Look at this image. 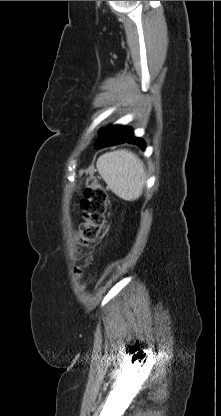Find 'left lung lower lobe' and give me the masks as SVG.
Returning a JSON list of instances; mask_svg holds the SVG:
<instances>
[{
	"instance_id": "left-lung-lower-lobe-1",
	"label": "left lung lower lobe",
	"mask_w": 221,
	"mask_h": 416,
	"mask_svg": "<svg viewBox=\"0 0 221 416\" xmlns=\"http://www.w3.org/2000/svg\"><path fill=\"white\" fill-rule=\"evenodd\" d=\"M125 142L131 143V144H137L143 150L145 149V143H144V141L141 140V139H139V138H137V137H134L132 131L128 135L123 136V137H120V138H117L114 141H109V142H103V143H101L100 141L97 140V142L95 144V147L102 148V147H105V146L116 145V144L125 143Z\"/></svg>"
}]
</instances>
